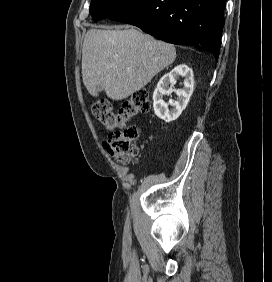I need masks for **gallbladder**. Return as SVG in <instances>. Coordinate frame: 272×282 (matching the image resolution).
Segmentation results:
<instances>
[{
  "instance_id": "obj_1",
  "label": "gallbladder",
  "mask_w": 272,
  "mask_h": 282,
  "mask_svg": "<svg viewBox=\"0 0 272 282\" xmlns=\"http://www.w3.org/2000/svg\"><path fill=\"white\" fill-rule=\"evenodd\" d=\"M97 91H98V92H100V91H101V88H100V87H98V88H97Z\"/></svg>"
}]
</instances>
